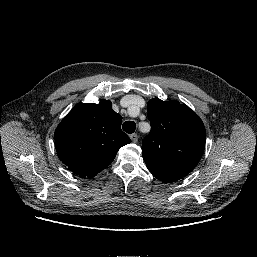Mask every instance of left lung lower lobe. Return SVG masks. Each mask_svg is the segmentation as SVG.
Segmentation results:
<instances>
[{
    "label": "left lung lower lobe",
    "instance_id": "left-lung-lower-lobe-1",
    "mask_svg": "<svg viewBox=\"0 0 257 257\" xmlns=\"http://www.w3.org/2000/svg\"><path fill=\"white\" fill-rule=\"evenodd\" d=\"M158 180L165 182V183H170V182H175L177 180H179L180 178L177 177H173L167 174H163V173H158V172H154V171H150Z\"/></svg>",
    "mask_w": 257,
    "mask_h": 257
}]
</instances>
